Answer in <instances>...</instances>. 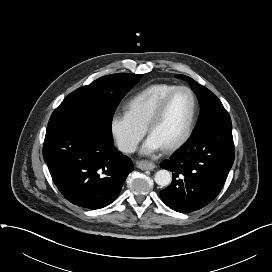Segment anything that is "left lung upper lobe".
<instances>
[{"instance_id":"left-lung-upper-lobe-1","label":"left lung upper lobe","mask_w":272,"mask_h":272,"mask_svg":"<svg viewBox=\"0 0 272 272\" xmlns=\"http://www.w3.org/2000/svg\"><path fill=\"white\" fill-rule=\"evenodd\" d=\"M176 77L186 80L199 100L200 116L193 133L215 124L231 122L228 112L213 92L188 76L178 74Z\"/></svg>"}]
</instances>
